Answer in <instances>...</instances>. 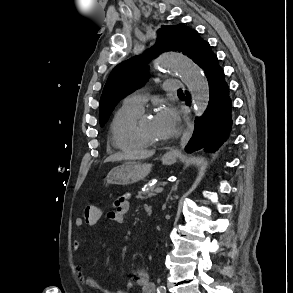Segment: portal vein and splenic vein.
<instances>
[{"mask_svg":"<svg viewBox=\"0 0 293 293\" xmlns=\"http://www.w3.org/2000/svg\"><path fill=\"white\" fill-rule=\"evenodd\" d=\"M163 190H164L163 187H157V188L155 189V192H156V193H161V192H163Z\"/></svg>","mask_w":293,"mask_h":293,"instance_id":"obj_1","label":"portal vein and splenic vein"}]
</instances>
